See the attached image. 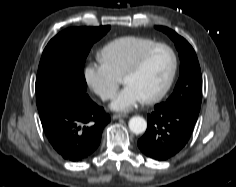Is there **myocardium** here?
<instances>
[{
  "label": "myocardium",
  "mask_w": 236,
  "mask_h": 187,
  "mask_svg": "<svg viewBox=\"0 0 236 187\" xmlns=\"http://www.w3.org/2000/svg\"><path fill=\"white\" fill-rule=\"evenodd\" d=\"M160 48H163L170 53L171 59H172L171 70H170L168 79H167L165 85L162 87V89L160 91H158L156 94L142 100V102L145 104H151V103H155V102L160 101L171 89V87L174 83L176 74H177V69H178V56H177L175 50L170 45H168L166 43H154V44L148 46L147 48H145L144 50H142L138 54V56L135 58V60L132 62V64L128 67V69L124 72V74L122 76V81L124 82V80L127 77L136 74L142 68L147 57L154 50L160 49Z\"/></svg>",
  "instance_id": "obj_1"
}]
</instances>
